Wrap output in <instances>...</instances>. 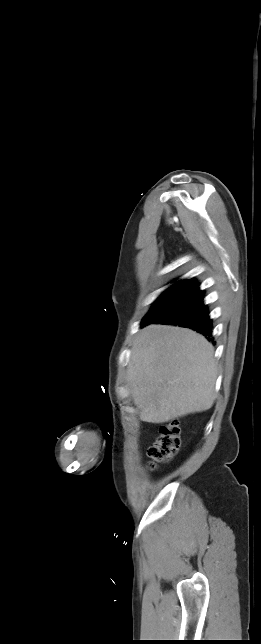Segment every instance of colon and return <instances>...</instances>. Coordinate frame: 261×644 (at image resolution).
<instances>
[{
  "instance_id": "1",
  "label": "colon",
  "mask_w": 261,
  "mask_h": 644,
  "mask_svg": "<svg viewBox=\"0 0 261 644\" xmlns=\"http://www.w3.org/2000/svg\"><path fill=\"white\" fill-rule=\"evenodd\" d=\"M180 427L177 420L163 424L159 435L148 450L152 467L171 460L180 447Z\"/></svg>"
}]
</instances>
